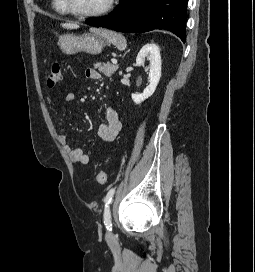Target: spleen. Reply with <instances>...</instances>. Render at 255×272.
I'll return each mask as SVG.
<instances>
[{
    "label": "spleen",
    "mask_w": 255,
    "mask_h": 272,
    "mask_svg": "<svg viewBox=\"0 0 255 272\" xmlns=\"http://www.w3.org/2000/svg\"><path fill=\"white\" fill-rule=\"evenodd\" d=\"M92 31L106 38L120 50H124L127 46L125 37L120 33L107 29H92Z\"/></svg>",
    "instance_id": "obj_1"
}]
</instances>
